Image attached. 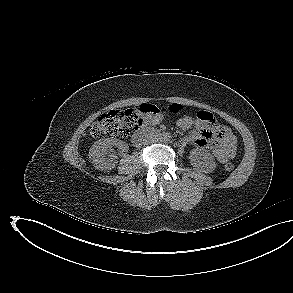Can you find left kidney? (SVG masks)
Returning a JSON list of instances; mask_svg holds the SVG:
<instances>
[{"label": "left kidney", "mask_w": 293, "mask_h": 293, "mask_svg": "<svg viewBox=\"0 0 293 293\" xmlns=\"http://www.w3.org/2000/svg\"><path fill=\"white\" fill-rule=\"evenodd\" d=\"M189 159L191 165L195 167V169L204 173H210L214 171L217 166L214 156L204 149L192 150Z\"/></svg>", "instance_id": "left-kidney-1"}]
</instances>
